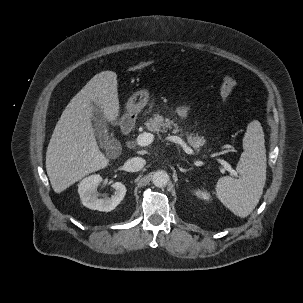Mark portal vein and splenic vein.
Here are the masks:
<instances>
[{
	"instance_id": "obj_1",
	"label": "portal vein and splenic vein",
	"mask_w": 303,
	"mask_h": 303,
	"mask_svg": "<svg viewBox=\"0 0 303 303\" xmlns=\"http://www.w3.org/2000/svg\"><path fill=\"white\" fill-rule=\"evenodd\" d=\"M167 140L174 142L178 145H180L183 150L187 153V154H193V150L178 136H168L166 137ZM154 140V135L151 133H142L140 135H138V137L136 138V143L137 145L141 146V147H145L148 146L149 144H151ZM217 161L224 166V168L232 175L235 177H238L237 172L231 167L230 164H228L225 160L218 158Z\"/></svg>"
}]
</instances>
